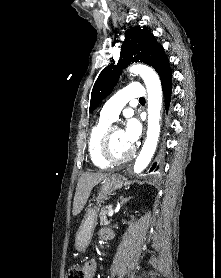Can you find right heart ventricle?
I'll use <instances>...</instances> for the list:
<instances>
[{"label": "right heart ventricle", "mask_w": 221, "mask_h": 278, "mask_svg": "<svg viewBox=\"0 0 221 278\" xmlns=\"http://www.w3.org/2000/svg\"><path fill=\"white\" fill-rule=\"evenodd\" d=\"M111 121L100 116L99 120L93 126L88 137V152L92 163L99 168H107L109 166L99 154V146L101 137L105 130L109 127Z\"/></svg>", "instance_id": "right-heart-ventricle-1"}]
</instances>
